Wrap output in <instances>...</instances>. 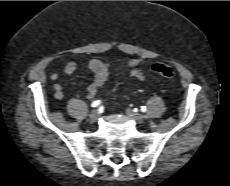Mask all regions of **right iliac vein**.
<instances>
[{
    "mask_svg": "<svg viewBox=\"0 0 230 186\" xmlns=\"http://www.w3.org/2000/svg\"><path fill=\"white\" fill-rule=\"evenodd\" d=\"M89 118L91 121L96 122L99 119V112L97 110H93L90 113Z\"/></svg>",
    "mask_w": 230,
    "mask_h": 186,
    "instance_id": "right-iliac-vein-1",
    "label": "right iliac vein"
}]
</instances>
